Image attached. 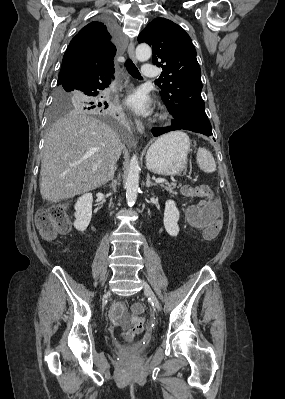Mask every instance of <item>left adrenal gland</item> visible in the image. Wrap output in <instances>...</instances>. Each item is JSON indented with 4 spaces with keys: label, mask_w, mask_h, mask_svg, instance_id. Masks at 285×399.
<instances>
[{
    "label": "left adrenal gland",
    "mask_w": 285,
    "mask_h": 399,
    "mask_svg": "<svg viewBox=\"0 0 285 399\" xmlns=\"http://www.w3.org/2000/svg\"><path fill=\"white\" fill-rule=\"evenodd\" d=\"M155 185H156L155 183L151 182V180H150V175H149V173H147L146 187H147V188H150V187L155 186Z\"/></svg>",
    "instance_id": "obj_1"
}]
</instances>
